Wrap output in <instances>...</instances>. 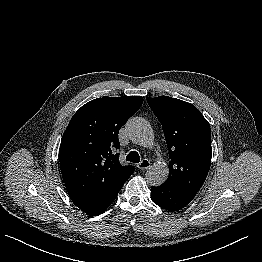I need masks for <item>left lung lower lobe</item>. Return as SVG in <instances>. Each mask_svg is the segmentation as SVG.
Here are the masks:
<instances>
[{"label": "left lung lower lobe", "instance_id": "0a47b994", "mask_svg": "<svg viewBox=\"0 0 262 262\" xmlns=\"http://www.w3.org/2000/svg\"><path fill=\"white\" fill-rule=\"evenodd\" d=\"M195 197L194 194L173 188L165 183L151 188V199L158 206L177 211L188 205Z\"/></svg>", "mask_w": 262, "mask_h": 262}]
</instances>
